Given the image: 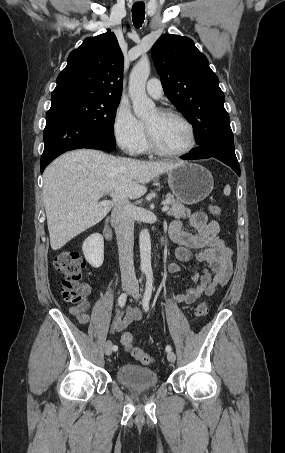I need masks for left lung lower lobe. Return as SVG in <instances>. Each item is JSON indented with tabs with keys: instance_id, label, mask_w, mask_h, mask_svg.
<instances>
[{
	"instance_id": "1",
	"label": "left lung lower lobe",
	"mask_w": 285,
	"mask_h": 453,
	"mask_svg": "<svg viewBox=\"0 0 285 453\" xmlns=\"http://www.w3.org/2000/svg\"><path fill=\"white\" fill-rule=\"evenodd\" d=\"M214 157L230 166L240 176V166L234 151L233 137H217L200 144L196 149L181 156L185 160Z\"/></svg>"
}]
</instances>
